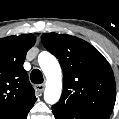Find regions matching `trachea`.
I'll return each mask as SVG.
<instances>
[{
	"label": "trachea",
	"mask_w": 119,
	"mask_h": 119,
	"mask_svg": "<svg viewBox=\"0 0 119 119\" xmlns=\"http://www.w3.org/2000/svg\"><path fill=\"white\" fill-rule=\"evenodd\" d=\"M30 79L34 84L43 83V75L39 69H34L31 72Z\"/></svg>",
	"instance_id": "obj_1"
}]
</instances>
